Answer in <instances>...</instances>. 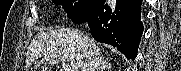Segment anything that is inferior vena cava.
Masks as SVG:
<instances>
[{
    "label": "inferior vena cava",
    "instance_id": "602c4592",
    "mask_svg": "<svg viewBox=\"0 0 181 71\" xmlns=\"http://www.w3.org/2000/svg\"><path fill=\"white\" fill-rule=\"evenodd\" d=\"M82 39L87 52V62L84 71H100L102 61L98 48L94 41L87 36L82 35Z\"/></svg>",
    "mask_w": 181,
    "mask_h": 71
}]
</instances>
